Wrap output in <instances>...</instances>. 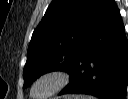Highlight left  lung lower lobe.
<instances>
[{"label": "left lung lower lobe", "mask_w": 128, "mask_h": 99, "mask_svg": "<svg viewBox=\"0 0 128 99\" xmlns=\"http://www.w3.org/2000/svg\"><path fill=\"white\" fill-rule=\"evenodd\" d=\"M70 83L59 93L126 99L128 41L120 11L109 0L90 38L67 71Z\"/></svg>", "instance_id": "1"}]
</instances>
